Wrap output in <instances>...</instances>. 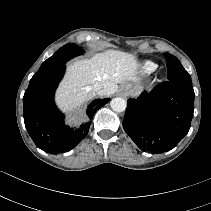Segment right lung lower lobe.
Here are the masks:
<instances>
[{
    "instance_id": "1",
    "label": "right lung lower lobe",
    "mask_w": 211,
    "mask_h": 211,
    "mask_svg": "<svg viewBox=\"0 0 211 211\" xmlns=\"http://www.w3.org/2000/svg\"><path fill=\"white\" fill-rule=\"evenodd\" d=\"M65 72V64L38 70L31 78L23 97L25 127L36 144L46 152L56 154L73 149L87 134L91 121L79 129L64 124V115L54 103L55 90ZM110 101H93L87 109L92 119L95 112Z\"/></svg>"
}]
</instances>
